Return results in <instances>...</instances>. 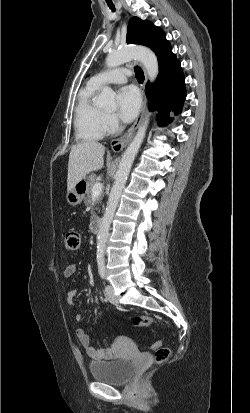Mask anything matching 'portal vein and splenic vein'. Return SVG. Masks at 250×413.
<instances>
[{
  "label": "portal vein and splenic vein",
  "instance_id": "18ae733b",
  "mask_svg": "<svg viewBox=\"0 0 250 413\" xmlns=\"http://www.w3.org/2000/svg\"><path fill=\"white\" fill-rule=\"evenodd\" d=\"M102 189H103L102 183L98 182L93 186L92 192L93 194H99L101 193Z\"/></svg>",
  "mask_w": 250,
  "mask_h": 413
}]
</instances>
